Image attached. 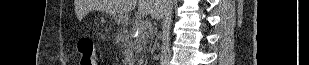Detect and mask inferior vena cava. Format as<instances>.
I'll list each match as a JSON object with an SVG mask.
<instances>
[{
    "label": "inferior vena cava",
    "mask_w": 309,
    "mask_h": 65,
    "mask_svg": "<svg viewBox=\"0 0 309 65\" xmlns=\"http://www.w3.org/2000/svg\"><path fill=\"white\" fill-rule=\"evenodd\" d=\"M163 2H165V4H166V8L168 7V1H166V0H162Z\"/></svg>",
    "instance_id": "1"
}]
</instances>
